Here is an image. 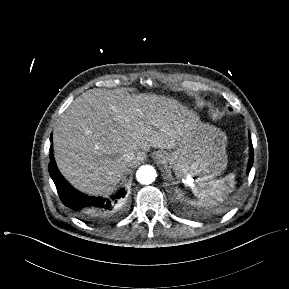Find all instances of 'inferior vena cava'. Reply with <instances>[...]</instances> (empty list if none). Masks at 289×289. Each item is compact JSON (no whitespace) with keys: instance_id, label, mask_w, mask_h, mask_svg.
<instances>
[{"instance_id":"inferior-vena-cava-1","label":"inferior vena cava","mask_w":289,"mask_h":289,"mask_svg":"<svg viewBox=\"0 0 289 289\" xmlns=\"http://www.w3.org/2000/svg\"><path fill=\"white\" fill-rule=\"evenodd\" d=\"M140 159L141 157L134 153H128L125 155V162L128 164V166L136 164Z\"/></svg>"}]
</instances>
